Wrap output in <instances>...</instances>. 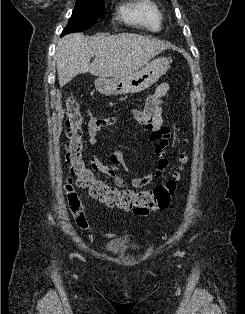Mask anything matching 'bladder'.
<instances>
[{
    "instance_id": "bladder-1",
    "label": "bladder",
    "mask_w": 245,
    "mask_h": 314,
    "mask_svg": "<svg viewBox=\"0 0 245 314\" xmlns=\"http://www.w3.org/2000/svg\"><path fill=\"white\" fill-rule=\"evenodd\" d=\"M132 247H137V246L129 241H117V242L107 245L106 252L110 256H121Z\"/></svg>"
}]
</instances>
